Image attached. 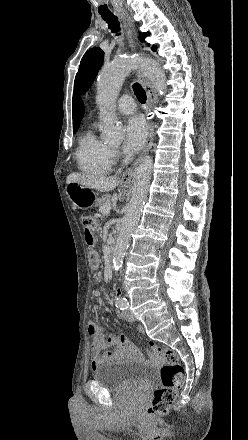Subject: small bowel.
Here are the masks:
<instances>
[{
  "mask_svg": "<svg viewBox=\"0 0 248 440\" xmlns=\"http://www.w3.org/2000/svg\"><path fill=\"white\" fill-rule=\"evenodd\" d=\"M137 330L140 333L144 332L143 327L140 325L137 326ZM87 331L92 337L91 354L93 369H96L106 362L116 361L125 357H136L139 355L136 347L126 335H106L103 326L95 320H90L88 322ZM146 345L153 348L157 345V340L155 338H148L146 340Z\"/></svg>",
  "mask_w": 248,
  "mask_h": 440,
  "instance_id": "1",
  "label": "small bowel"
}]
</instances>
